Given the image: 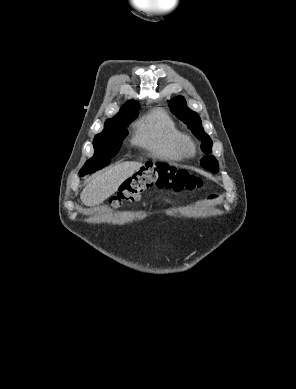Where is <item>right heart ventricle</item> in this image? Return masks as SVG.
<instances>
[{"label": "right heart ventricle", "mask_w": 296, "mask_h": 389, "mask_svg": "<svg viewBox=\"0 0 296 389\" xmlns=\"http://www.w3.org/2000/svg\"><path fill=\"white\" fill-rule=\"evenodd\" d=\"M182 134L173 119L160 108L144 115L136 124L132 142L150 155L168 161H181L179 150Z\"/></svg>", "instance_id": "1"}]
</instances>
